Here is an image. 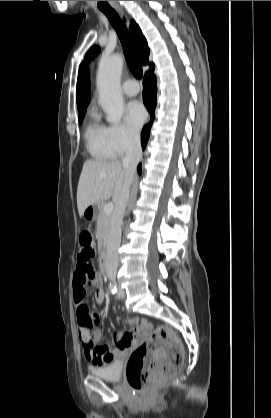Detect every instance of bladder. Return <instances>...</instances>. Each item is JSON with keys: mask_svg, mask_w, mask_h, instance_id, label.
Returning <instances> with one entry per match:
<instances>
[{"mask_svg": "<svg viewBox=\"0 0 271 418\" xmlns=\"http://www.w3.org/2000/svg\"><path fill=\"white\" fill-rule=\"evenodd\" d=\"M123 363L119 360L112 361L102 367L92 368V375L106 381L117 382L122 375Z\"/></svg>", "mask_w": 271, "mask_h": 418, "instance_id": "31cf9c89", "label": "bladder"}]
</instances>
